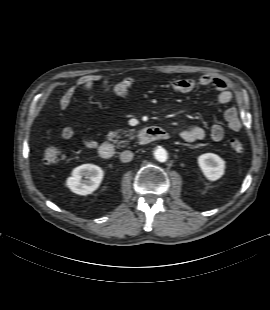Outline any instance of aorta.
I'll return each instance as SVG.
<instances>
[{"label":"aorta","instance_id":"aorta-1","mask_svg":"<svg viewBox=\"0 0 270 310\" xmlns=\"http://www.w3.org/2000/svg\"><path fill=\"white\" fill-rule=\"evenodd\" d=\"M154 156H155L156 160L159 162H165L167 160V157H168L167 151L162 147H158L154 151Z\"/></svg>","mask_w":270,"mask_h":310}]
</instances>
